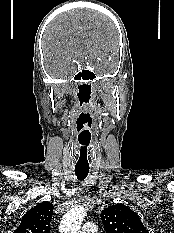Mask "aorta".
Masks as SVG:
<instances>
[{
    "label": "aorta",
    "mask_w": 174,
    "mask_h": 233,
    "mask_svg": "<svg viewBox=\"0 0 174 233\" xmlns=\"http://www.w3.org/2000/svg\"><path fill=\"white\" fill-rule=\"evenodd\" d=\"M86 216V211L83 207H75L66 212L63 216L59 233H81V224Z\"/></svg>",
    "instance_id": "aorta-1"
}]
</instances>
